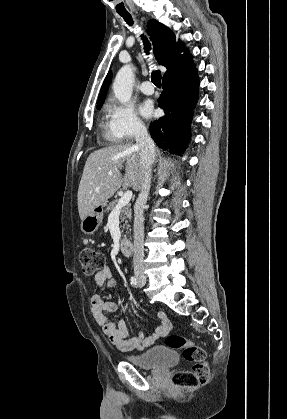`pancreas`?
Wrapping results in <instances>:
<instances>
[{"label":"pancreas","instance_id":"obj_1","mask_svg":"<svg viewBox=\"0 0 287 419\" xmlns=\"http://www.w3.org/2000/svg\"><path fill=\"white\" fill-rule=\"evenodd\" d=\"M118 200H113L107 207H106V211H111L115 208V206L117 205ZM131 205L127 204L126 206H124L121 210V222H124L123 225V229H129V225H127L128 220L130 221L132 219V210H131Z\"/></svg>","mask_w":287,"mask_h":419}]
</instances>
